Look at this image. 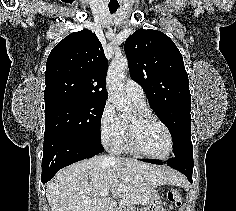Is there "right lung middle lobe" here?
<instances>
[{"label":"right lung middle lobe","instance_id":"obj_1","mask_svg":"<svg viewBox=\"0 0 236 211\" xmlns=\"http://www.w3.org/2000/svg\"><path fill=\"white\" fill-rule=\"evenodd\" d=\"M105 101L61 100L45 106L44 137L77 135L101 142L100 124Z\"/></svg>","mask_w":236,"mask_h":211}]
</instances>
